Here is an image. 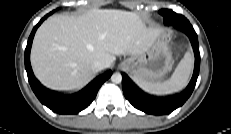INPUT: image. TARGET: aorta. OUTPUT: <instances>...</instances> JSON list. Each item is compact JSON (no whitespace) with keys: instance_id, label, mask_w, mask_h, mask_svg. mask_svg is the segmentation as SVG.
<instances>
[{"instance_id":"aorta-1","label":"aorta","mask_w":231,"mask_h":134,"mask_svg":"<svg viewBox=\"0 0 231 134\" xmlns=\"http://www.w3.org/2000/svg\"><path fill=\"white\" fill-rule=\"evenodd\" d=\"M111 81L113 83H121L122 81V75L120 73H113L111 76Z\"/></svg>"}]
</instances>
